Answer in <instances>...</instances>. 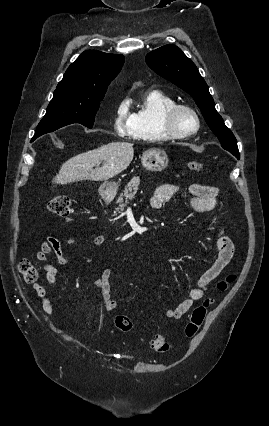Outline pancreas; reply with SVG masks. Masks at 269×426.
<instances>
[{
	"label": "pancreas",
	"instance_id": "obj_1",
	"mask_svg": "<svg viewBox=\"0 0 269 426\" xmlns=\"http://www.w3.org/2000/svg\"><path fill=\"white\" fill-rule=\"evenodd\" d=\"M140 178L134 177L132 180L125 186L123 193L119 196L116 204L118 208L116 209L118 212L123 211L124 207L128 203V200H132L139 189Z\"/></svg>",
	"mask_w": 269,
	"mask_h": 426
}]
</instances>
